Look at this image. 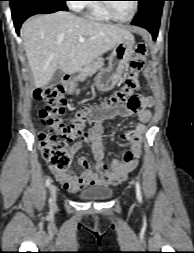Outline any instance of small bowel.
<instances>
[{"label": "small bowel", "mask_w": 194, "mask_h": 253, "mask_svg": "<svg viewBox=\"0 0 194 253\" xmlns=\"http://www.w3.org/2000/svg\"><path fill=\"white\" fill-rule=\"evenodd\" d=\"M153 105V97L143 96L140 93H131V97L126 99V104L95 110L90 119V128L69 148V153L75 155L84 143L90 144L96 162L95 167H91L86 157H81L79 163L84 168V172L81 175H76L70 170L57 171L51 167L56 179L70 192H76L93 185L108 186L122 182L137 166L141 153L142 137L146 132V124L151 119V108ZM116 116L134 117L137 122L132 130L123 132L120 135L121 140L128 143L129 150L122 151L120 159H114L107 163L102 140V121ZM127 153L133 155L132 160H125Z\"/></svg>", "instance_id": "obj_1"}]
</instances>
